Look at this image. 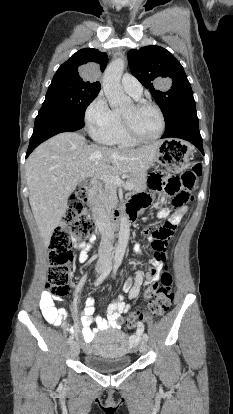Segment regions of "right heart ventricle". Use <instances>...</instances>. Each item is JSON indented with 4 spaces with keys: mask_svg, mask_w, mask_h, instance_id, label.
Returning <instances> with one entry per match:
<instances>
[{
    "mask_svg": "<svg viewBox=\"0 0 233 414\" xmlns=\"http://www.w3.org/2000/svg\"><path fill=\"white\" fill-rule=\"evenodd\" d=\"M114 122L110 133V138L107 144L117 146L120 148H130L137 144L136 141L132 140L124 131L121 116L114 113Z\"/></svg>",
    "mask_w": 233,
    "mask_h": 414,
    "instance_id": "e07e8e85",
    "label": "right heart ventricle"
}]
</instances>
